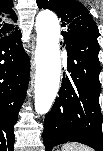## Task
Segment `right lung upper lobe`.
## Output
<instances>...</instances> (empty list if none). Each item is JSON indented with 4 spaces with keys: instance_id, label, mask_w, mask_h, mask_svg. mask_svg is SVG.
Segmentation results:
<instances>
[{
    "instance_id": "1",
    "label": "right lung upper lobe",
    "mask_w": 103,
    "mask_h": 151,
    "mask_svg": "<svg viewBox=\"0 0 103 151\" xmlns=\"http://www.w3.org/2000/svg\"><path fill=\"white\" fill-rule=\"evenodd\" d=\"M12 0H0V38L10 37L17 32L13 22L17 20L12 9Z\"/></svg>"
}]
</instances>
